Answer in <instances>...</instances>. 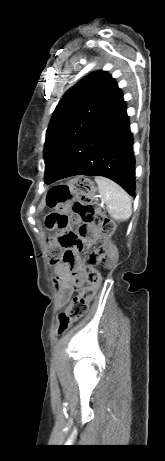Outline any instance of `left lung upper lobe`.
<instances>
[{
	"label": "left lung upper lobe",
	"instance_id": "obj_1",
	"mask_svg": "<svg viewBox=\"0 0 165 461\" xmlns=\"http://www.w3.org/2000/svg\"><path fill=\"white\" fill-rule=\"evenodd\" d=\"M120 93L105 71H95L70 88L57 105L46 132L45 183L58 173L82 137Z\"/></svg>",
	"mask_w": 165,
	"mask_h": 461
}]
</instances>
